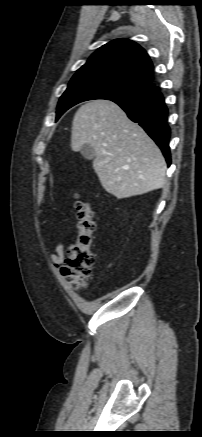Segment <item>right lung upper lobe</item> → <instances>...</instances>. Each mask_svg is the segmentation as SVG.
<instances>
[{
	"label": "right lung upper lobe",
	"mask_w": 202,
	"mask_h": 437,
	"mask_svg": "<svg viewBox=\"0 0 202 437\" xmlns=\"http://www.w3.org/2000/svg\"><path fill=\"white\" fill-rule=\"evenodd\" d=\"M83 71L115 72L152 83L153 66L141 46L131 40L117 39L94 52L77 72Z\"/></svg>",
	"instance_id": "right-lung-upper-lobe-1"
}]
</instances>
